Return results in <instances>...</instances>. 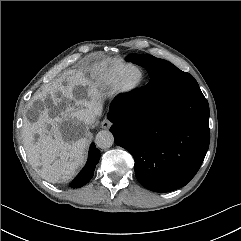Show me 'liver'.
Masks as SVG:
<instances>
[{
    "instance_id": "6515ba94",
    "label": "liver",
    "mask_w": 241,
    "mask_h": 241,
    "mask_svg": "<svg viewBox=\"0 0 241 241\" xmlns=\"http://www.w3.org/2000/svg\"><path fill=\"white\" fill-rule=\"evenodd\" d=\"M63 79L53 81L47 93H40L30 103L37 118L23 125V142L30 164L50 183L71 179L84 163L89 140L81 115L84 109L100 104L101 93L89 84L81 72H72L67 84ZM87 88L84 97L75 95L79 86ZM39 101V105L34 103ZM39 138L35 140L34 136Z\"/></svg>"
}]
</instances>
